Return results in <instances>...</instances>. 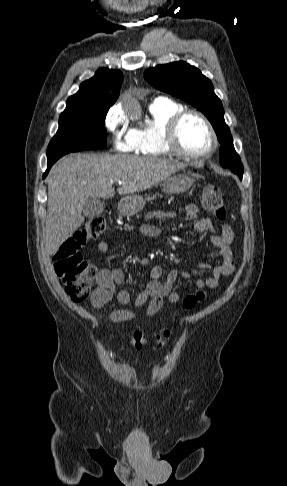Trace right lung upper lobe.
<instances>
[{
  "label": "right lung upper lobe",
  "instance_id": "right-lung-upper-lobe-1",
  "mask_svg": "<svg viewBox=\"0 0 287 486\" xmlns=\"http://www.w3.org/2000/svg\"><path fill=\"white\" fill-rule=\"evenodd\" d=\"M123 81L119 70L100 68L94 77L84 81L79 91L70 96L66 107L85 105H108L115 103Z\"/></svg>",
  "mask_w": 287,
  "mask_h": 486
}]
</instances>
